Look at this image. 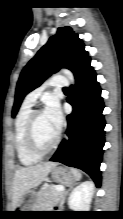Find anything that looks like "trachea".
Listing matches in <instances>:
<instances>
[{"mask_svg": "<svg viewBox=\"0 0 123 219\" xmlns=\"http://www.w3.org/2000/svg\"><path fill=\"white\" fill-rule=\"evenodd\" d=\"M64 90H68V88H67V87H65V88H64Z\"/></svg>", "mask_w": 123, "mask_h": 219, "instance_id": "1", "label": "trachea"}]
</instances>
